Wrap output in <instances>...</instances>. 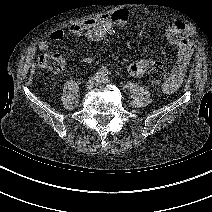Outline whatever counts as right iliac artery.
Wrapping results in <instances>:
<instances>
[{
  "label": "right iliac artery",
  "mask_w": 212,
  "mask_h": 212,
  "mask_svg": "<svg viewBox=\"0 0 212 212\" xmlns=\"http://www.w3.org/2000/svg\"><path fill=\"white\" fill-rule=\"evenodd\" d=\"M98 74L102 77L106 76L108 74V70L104 67H102L99 71Z\"/></svg>",
  "instance_id": "obj_1"
}]
</instances>
